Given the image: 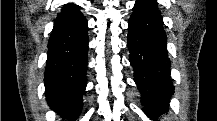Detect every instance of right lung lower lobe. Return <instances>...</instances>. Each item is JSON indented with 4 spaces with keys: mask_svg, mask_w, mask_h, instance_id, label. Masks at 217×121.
<instances>
[{
    "mask_svg": "<svg viewBox=\"0 0 217 121\" xmlns=\"http://www.w3.org/2000/svg\"><path fill=\"white\" fill-rule=\"evenodd\" d=\"M87 20L75 4L64 5L48 41L45 94L59 115L74 120L82 107L86 87Z\"/></svg>",
    "mask_w": 217,
    "mask_h": 121,
    "instance_id": "obj_1",
    "label": "right lung lower lobe"
}]
</instances>
